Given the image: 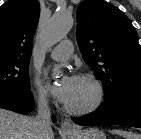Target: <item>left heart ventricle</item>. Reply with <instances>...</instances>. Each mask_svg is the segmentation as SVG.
Segmentation results:
<instances>
[{"mask_svg":"<svg viewBox=\"0 0 141 139\" xmlns=\"http://www.w3.org/2000/svg\"><path fill=\"white\" fill-rule=\"evenodd\" d=\"M94 97L95 89L89 81L74 78L69 99L65 104L72 107H83L90 104Z\"/></svg>","mask_w":141,"mask_h":139,"instance_id":"left-heart-ventricle-1","label":"left heart ventricle"}]
</instances>
